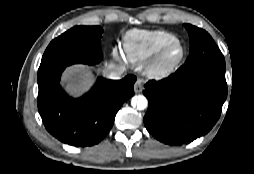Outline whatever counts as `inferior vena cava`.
<instances>
[{"label": "inferior vena cava", "mask_w": 254, "mask_h": 174, "mask_svg": "<svg viewBox=\"0 0 254 174\" xmlns=\"http://www.w3.org/2000/svg\"><path fill=\"white\" fill-rule=\"evenodd\" d=\"M124 72H125L124 66H115L108 73V77L112 80H118L121 78Z\"/></svg>", "instance_id": "obj_1"}]
</instances>
